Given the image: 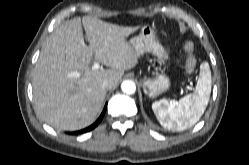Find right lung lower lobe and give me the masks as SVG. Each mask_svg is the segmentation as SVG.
<instances>
[{"label": "right lung lower lobe", "instance_id": "1", "mask_svg": "<svg viewBox=\"0 0 249 165\" xmlns=\"http://www.w3.org/2000/svg\"><path fill=\"white\" fill-rule=\"evenodd\" d=\"M105 111H106V105H105V107L103 109V112L101 113L100 117L97 119V121L94 124H92L91 126L85 128L83 130L73 132L72 134H82V133H85V132H88V131H91L92 129H94L101 122V120H102V118H103V116L105 114Z\"/></svg>", "mask_w": 249, "mask_h": 165}]
</instances>
